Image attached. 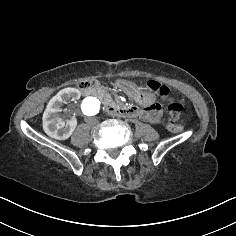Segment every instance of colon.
<instances>
[{"mask_svg": "<svg viewBox=\"0 0 236 236\" xmlns=\"http://www.w3.org/2000/svg\"><path fill=\"white\" fill-rule=\"evenodd\" d=\"M89 85L90 84L88 82H82L79 87H89ZM146 86L148 89L156 92L168 101V113L170 117L167 124L168 129L173 132L181 131L182 128L181 125L178 124V120L183 113V105L173 100L170 95V89L167 86L153 80L148 81Z\"/></svg>", "mask_w": 236, "mask_h": 236, "instance_id": "obj_1", "label": "colon"}]
</instances>
